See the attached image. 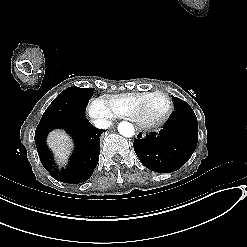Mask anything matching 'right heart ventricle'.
I'll use <instances>...</instances> for the list:
<instances>
[{"label":"right heart ventricle","mask_w":247,"mask_h":247,"mask_svg":"<svg viewBox=\"0 0 247 247\" xmlns=\"http://www.w3.org/2000/svg\"><path fill=\"white\" fill-rule=\"evenodd\" d=\"M150 92L124 93L104 95L100 99L110 111L111 119L130 118L137 111L138 106L145 101Z\"/></svg>","instance_id":"obj_1"}]
</instances>
